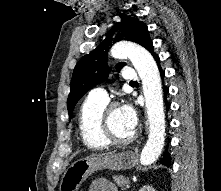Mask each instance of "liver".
<instances>
[{
	"label": "liver",
	"instance_id": "1",
	"mask_svg": "<svg viewBox=\"0 0 221 191\" xmlns=\"http://www.w3.org/2000/svg\"><path fill=\"white\" fill-rule=\"evenodd\" d=\"M114 152H109V153H104L102 155H108V154H113ZM92 156H95V154H93Z\"/></svg>",
	"mask_w": 221,
	"mask_h": 191
}]
</instances>
